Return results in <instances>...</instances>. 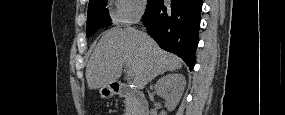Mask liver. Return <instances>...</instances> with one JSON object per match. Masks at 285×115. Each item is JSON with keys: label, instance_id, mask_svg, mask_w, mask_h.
Instances as JSON below:
<instances>
[{"label": "liver", "instance_id": "liver-1", "mask_svg": "<svg viewBox=\"0 0 285 115\" xmlns=\"http://www.w3.org/2000/svg\"><path fill=\"white\" fill-rule=\"evenodd\" d=\"M124 65L132 73L135 88L143 89L158 75L180 69L182 60L135 28L114 27L103 34L88 61L85 75L89 89L117 81Z\"/></svg>", "mask_w": 285, "mask_h": 115}]
</instances>
